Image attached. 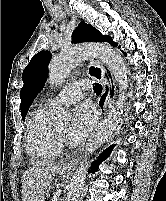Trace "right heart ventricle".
<instances>
[{
    "instance_id": "e07e8e85",
    "label": "right heart ventricle",
    "mask_w": 166,
    "mask_h": 201,
    "mask_svg": "<svg viewBox=\"0 0 166 201\" xmlns=\"http://www.w3.org/2000/svg\"><path fill=\"white\" fill-rule=\"evenodd\" d=\"M61 143L49 122L46 107L33 111L27 124L26 151L34 164L55 160L61 154Z\"/></svg>"
}]
</instances>
